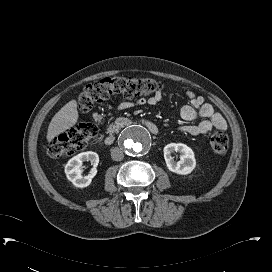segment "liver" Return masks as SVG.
Instances as JSON below:
<instances>
[{
	"instance_id": "obj_1",
	"label": "liver",
	"mask_w": 272,
	"mask_h": 272,
	"mask_svg": "<svg viewBox=\"0 0 272 272\" xmlns=\"http://www.w3.org/2000/svg\"><path fill=\"white\" fill-rule=\"evenodd\" d=\"M78 110L76 100L65 104L52 118L47 131V141L73 127L78 121Z\"/></svg>"
}]
</instances>
